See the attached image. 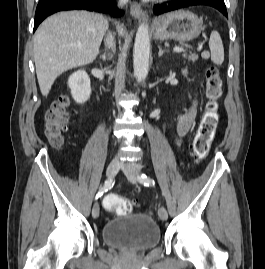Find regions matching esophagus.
<instances>
[{
    "label": "esophagus",
    "mask_w": 265,
    "mask_h": 269,
    "mask_svg": "<svg viewBox=\"0 0 265 269\" xmlns=\"http://www.w3.org/2000/svg\"><path fill=\"white\" fill-rule=\"evenodd\" d=\"M130 14L133 18L142 20L146 17V13L138 3H133L130 7Z\"/></svg>",
    "instance_id": "1"
}]
</instances>
